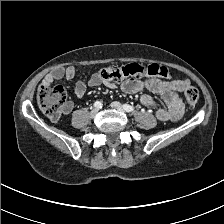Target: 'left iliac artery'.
Segmentation results:
<instances>
[{
    "label": "left iliac artery",
    "instance_id": "left-iliac-artery-1",
    "mask_svg": "<svg viewBox=\"0 0 224 224\" xmlns=\"http://www.w3.org/2000/svg\"><path fill=\"white\" fill-rule=\"evenodd\" d=\"M123 109H124L125 111H127V112H132V111H134V107L131 106V105H129V104H124V105H123Z\"/></svg>",
    "mask_w": 224,
    "mask_h": 224
}]
</instances>
